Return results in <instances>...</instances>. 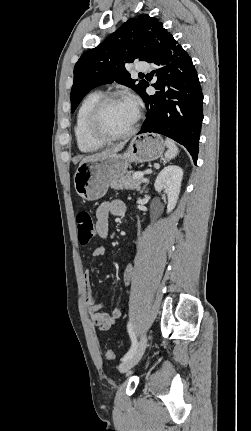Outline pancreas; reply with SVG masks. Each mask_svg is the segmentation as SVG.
<instances>
[{"mask_svg": "<svg viewBox=\"0 0 251 431\" xmlns=\"http://www.w3.org/2000/svg\"><path fill=\"white\" fill-rule=\"evenodd\" d=\"M134 172H127L118 179H113L110 182V187L115 190H140L142 178H133Z\"/></svg>", "mask_w": 251, "mask_h": 431, "instance_id": "cf45deb5", "label": "pancreas"}]
</instances>
